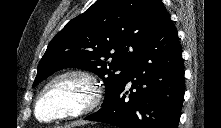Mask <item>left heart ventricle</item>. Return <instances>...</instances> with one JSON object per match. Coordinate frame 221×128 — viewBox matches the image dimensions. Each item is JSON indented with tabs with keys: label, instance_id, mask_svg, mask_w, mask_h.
I'll return each mask as SVG.
<instances>
[{
	"label": "left heart ventricle",
	"instance_id": "obj_1",
	"mask_svg": "<svg viewBox=\"0 0 221 128\" xmlns=\"http://www.w3.org/2000/svg\"><path fill=\"white\" fill-rule=\"evenodd\" d=\"M83 94V88L72 80L56 85L42 103L39 113L42 118H48L59 110L68 106H75L78 98Z\"/></svg>",
	"mask_w": 221,
	"mask_h": 128
}]
</instances>
